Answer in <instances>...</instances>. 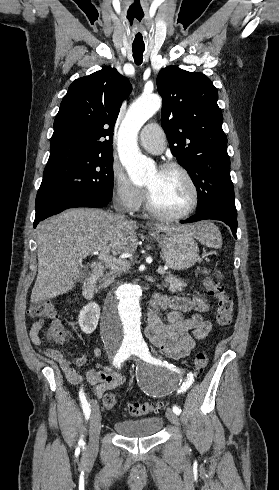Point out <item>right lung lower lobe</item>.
I'll list each match as a JSON object with an SVG mask.
<instances>
[{
    "mask_svg": "<svg viewBox=\"0 0 279 490\" xmlns=\"http://www.w3.org/2000/svg\"><path fill=\"white\" fill-rule=\"evenodd\" d=\"M108 201L97 199L92 196L84 194H75L68 196H54L45 199L40 203L38 209H36V218L34 221V228L43 219L58 214L65 209L75 207H93L101 208L108 204Z\"/></svg>",
    "mask_w": 279,
    "mask_h": 490,
    "instance_id": "right-lung-lower-lobe-1",
    "label": "right lung lower lobe"
}]
</instances>
